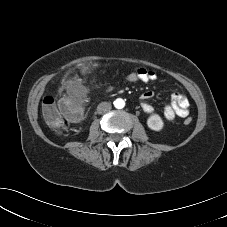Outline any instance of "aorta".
Here are the masks:
<instances>
[{"mask_svg": "<svg viewBox=\"0 0 227 227\" xmlns=\"http://www.w3.org/2000/svg\"><path fill=\"white\" fill-rule=\"evenodd\" d=\"M114 106H115V108H117V109H122V108H124V106H125V101H124L122 98H117V99L114 101Z\"/></svg>", "mask_w": 227, "mask_h": 227, "instance_id": "obj_1", "label": "aorta"}]
</instances>
